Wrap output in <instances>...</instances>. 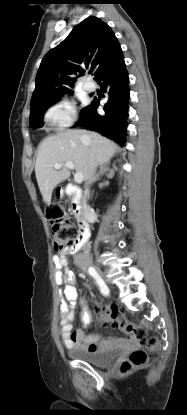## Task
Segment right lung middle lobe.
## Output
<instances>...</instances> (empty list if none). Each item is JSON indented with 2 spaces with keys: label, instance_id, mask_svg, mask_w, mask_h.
I'll return each mask as SVG.
<instances>
[{
  "label": "right lung middle lobe",
  "instance_id": "obj_1",
  "mask_svg": "<svg viewBox=\"0 0 187 415\" xmlns=\"http://www.w3.org/2000/svg\"><path fill=\"white\" fill-rule=\"evenodd\" d=\"M51 106V104L43 105L33 111H30L29 124L32 128H40L43 126V115L46 109Z\"/></svg>",
  "mask_w": 187,
  "mask_h": 415
}]
</instances>
